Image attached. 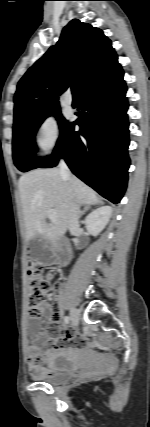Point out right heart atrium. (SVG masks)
Instances as JSON below:
<instances>
[{
  "label": "right heart atrium",
  "instance_id": "1",
  "mask_svg": "<svg viewBox=\"0 0 150 427\" xmlns=\"http://www.w3.org/2000/svg\"><path fill=\"white\" fill-rule=\"evenodd\" d=\"M61 139L62 128L58 118L53 114L44 116L35 129V145L38 150L49 155L60 146Z\"/></svg>",
  "mask_w": 150,
  "mask_h": 427
}]
</instances>
